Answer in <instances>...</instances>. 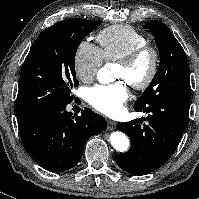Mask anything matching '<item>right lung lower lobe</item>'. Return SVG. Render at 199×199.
<instances>
[{
  "mask_svg": "<svg viewBox=\"0 0 199 199\" xmlns=\"http://www.w3.org/2000/svg\"><path fill=\"white\" fill-rule=\"evenodd\" d=\"M63 107L43 113L19 127L27 153L43 168L65 171L76 166L88 138L106 128V120L89 108L80 116Z\"/></svg>",
  "mask_w": 199,
  "mask_h": 199,
  "instance_id": "right-lung-lower-lobe-1",
  "label": "right lung lower lobe"
}]
</instances>
